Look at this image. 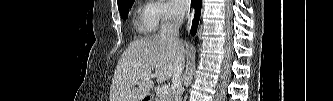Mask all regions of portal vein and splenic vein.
<instances>
[{"mask_svg": "<svg viewBox=\"0 0 333 101\" xmlns=\"http://www.w3.org/2000/svg\"><path fill=\"white\" fill-rule=\"evenodd\" d=\"M151 77H152V75H150V74H145V75H143L142 79H143V80H147V79H149V78H151ZM160 91H161L162 94H168L169 91H170L169 86H168V85H163V86L161 87Z\"/></svg>", "mask_w": 333, "mask_h": 101, "instance_id": "18ae733b", "label": "portal vein and splenic vein"}]
</instances>
